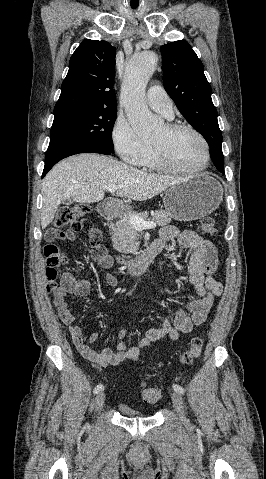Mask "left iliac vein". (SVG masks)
<instances>
[{"mask_svg": "<svg viewBox=\"0 0 266 479\" xmlns=\"http://www.w3.org/2000/svg\"><path fill=\"white\" fill-rule=\"evenodd\" d=\"M174 407L179 414V417L181 421L183 422L184 425H189V420L186 418L185 412H184V404H183V399L180 393L174 392L171 396Z\"/></svg>", "mask_w": 266, "mask_h": 479, "instance_id": "4c4485c4", "label": "left iliac vein"}]
</instances>
